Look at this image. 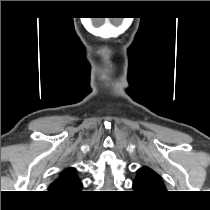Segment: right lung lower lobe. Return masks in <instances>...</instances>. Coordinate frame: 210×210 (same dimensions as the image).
<instances>
[{"label":"right lung lower lobe","instance_id":"obj_1","mask_svg":"<svg viewBox=\"0 0 210 210\" xmlns=\"http://www.w3.org/2000/svg\"><path fill=\"white\" fill-rule=\"evenodd\" d=\"M77 194V193H76ZM60 196H64V197H72V196H75V194H72V195H60Z\"/></svg>","mask_w":210,"mask_h":210}]
</instances>
